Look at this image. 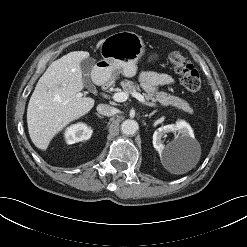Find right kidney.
<instances>
[{
	"label": "right kidney",
	"instance_id": "right-kidney-1",
	"mask_svg": "<svg viewBox=\"0 0 247 247\" xmlns=\"http://www.w3.org/2000/svg\"><path fill=\"white\" fill-rule=\"evenodd\" d=\"M93 130L85 123L73 124L66 128L64 137L66 143L74 144L80 141L88 140L92 135Z\"/></svg>",
	"mask_w": 247,
	"mask_h": 247
}]
</instances>
